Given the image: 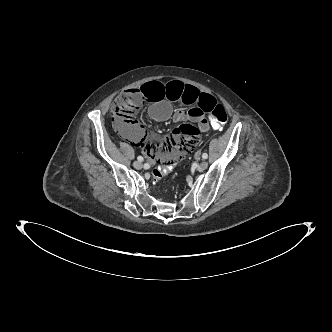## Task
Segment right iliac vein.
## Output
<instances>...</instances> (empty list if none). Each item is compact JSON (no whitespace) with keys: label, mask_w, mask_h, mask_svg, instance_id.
Instances as JSON below:
<instances>
[{"label":"right iliac vein","mask_w":332,"mask_h":332,"mask_svg":"<svg viewBox=\"0 0 332 332\" xmlns=\"http://www.w3.org/2000/svg\"><path fill=\"white\" fill-rule=\"evenodd\" d=\"M133 166L136 168V169H141L143 167V164L140 162V161H135L133 163Z\"/></svg>","instance_id":"right-iliac-vein-1"}]
</instances>
